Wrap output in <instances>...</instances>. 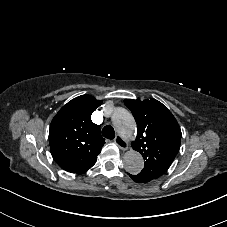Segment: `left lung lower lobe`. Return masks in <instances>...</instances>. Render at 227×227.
<instances>
[{"label":"left lung lower lobe","instance_id":"1","mask_svg":"<svg viewBox=\"0 0 227 227\" xmlns=\"http://www.w3.org/2000/svg\"><path fill=\"white\" fill-rule=\"evenodd\" d=\"M129 176L137 183H146L151 181V179L145 177V176H140V175H131L129 174Z\"/></svg>","mask_w":227,"mask_h":227}]
</instances>
